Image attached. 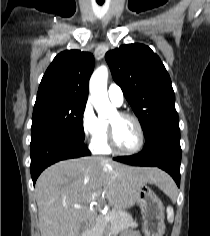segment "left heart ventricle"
Here are the masks:
<instances>
[{
  "instance_id": "left-heart-ventricle-1",
  "label": "left heart ventricle",
  "mask_w": 210,
  "mask_h": 236,
  "mask_svg": "<svg viewBox=\"0 0 210 236\" xmlns=\"http://www.w3.org/2000/svg\"><path fill=\"white\" fill-rule=\"evenodd\" d=\"M109 122L114 127L115 140L123 150H131L136 147L139 140L138 129L135 122L129 118L120 117L114 114Z\"/></svg>"
}]
</instances>
